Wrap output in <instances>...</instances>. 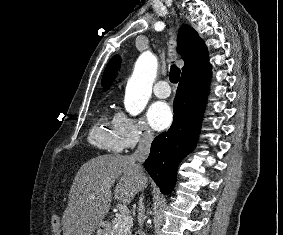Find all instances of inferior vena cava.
<instances>
[{
	"mask_svg": "<svg viewBox=\"0 0 283 235\" xmlns=\"http://www.w3.org/2000/svg\"><path fill=\"white\" fill-rule=\"evenodd\" d=\"M152 140H153V134L150 131L144 132V134H142L140 137L137 149L130 156V159L136 163V167L139 172H143L142 164L149 156ZM138 205L139 207H138L137 218H138L139 226L142 228L145 221L142 197H140Z\"/></svg>",
	"mask_w": 283,
	"mask_h": 235,
	"instance_id": "inferior-vena-cava-1",
	"label": "inferior vena cava"
}]
</instances>
